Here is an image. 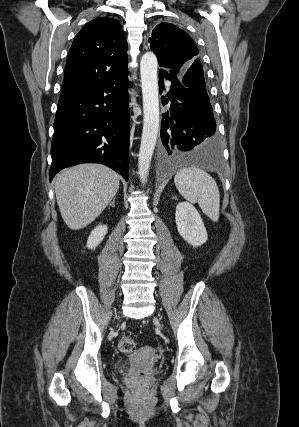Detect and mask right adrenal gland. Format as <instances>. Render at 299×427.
<instances>
[{
    "label": "right adrenal gland",
    "instance_id": "right-adrenal-gland-1",
    "mask_svg": "<svg viewBox=\"0 0 299 427\" xmlns=\"http://www.w3.org/2000/svg\"><path fill=\"white\" fill-rule=\"evenodd\" d=\"M111 206H115V198L113 199V201L110 203Z\"/></svg>",
    "mask_w": 299,
    "mask_h": 427
}]
</instances>
